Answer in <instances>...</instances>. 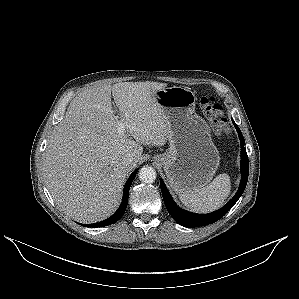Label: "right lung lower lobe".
Masks as SVG:
<instances>
[{
	"label": "right lung lower lobe",
	"mask_w": 299,
	"mask_h": 299,
	"mask_svg": "<svg viewBox=\"0 0 299 299\" xmlns=\"http://www.w3.org/2000/svg\"><path fill=\"white\" fill-rule=\"evenodd\" d=\"M136 171H134L131 176L129 177L128 181L126 182L125 184V187H124V193H123V200H122V203L120 205V207L118 208V210L116 211L115 214H113L111 217H109L108 219L106 220H103L101 222H98V223H93V224H81L82 226H85V227H103V226H108V225H111L115 222H117L124 214L125 210H126V207H127V204H128V194H129V189H130V186L136 176Z\"/></svg>",
	"instance_id": "1"
}]
</instances>
